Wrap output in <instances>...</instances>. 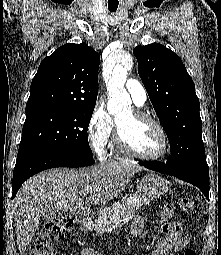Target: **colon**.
Instances as JSON below:
<instances>
[{"label":"colon","mask_w":221,"mask_h":255,"mask_svg":"<svg viewBox=\"0 0 221 255\" xmlns=\"http://www.w3.org/2000/svg\"><path fill=\"white\" fill-rule=\"evenodd\" d=\"M179 204L181 210L186 213H190L194 209V200L191 197H182ZM173 212V206L166 204L162 209V217L168 219L172 216ZM71 226L72 219L67 214H58L46 221L30 245L29 255H54L55 244ZM182 255H196V253L193 249L187 248L183 251Z\"/></svg>","instance_id":"obj_1"}]
</instances>
